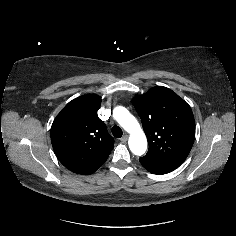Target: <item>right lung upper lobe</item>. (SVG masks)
Instances as JSON below:
<instances>
[{
    "label": "right lung upper lobe",
    "mask_w": 236,
    "mask_h": 236,
    "mask_svg": "<svg viewBox=\"0 0 236 236\" xmlns=\"http://www.w3.org/2000/svg\"><path fill=\"white\" fill-rule=\"evenodd\" d=\"M98 95H83L69 102L51 126V142L58 160L70 171L90 175L109 156L114 139L98 118Z\"/></svg>",
    "instance_id": "cb5924a9"
}]
</instances>
